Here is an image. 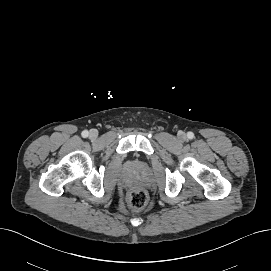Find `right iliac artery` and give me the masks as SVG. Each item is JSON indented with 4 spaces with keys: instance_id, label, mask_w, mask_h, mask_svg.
<instances>
[{
    "instance_id": "1",
    "label": "right iliac artery",
    "mask_w": 271,
    "mask_h": 271,
    "mask_svg": "<svg viewBox=\"0 0 271 271\" xmlns=\"http://www.w3.org/2000/svg\"><path fill=\"white\" fill-rule=\"evenodd\" d=\"M88 131L87 130H84L83 132H82V136L84 137V138H86V137H88Z\"/></svg>"
}]
</instances>
